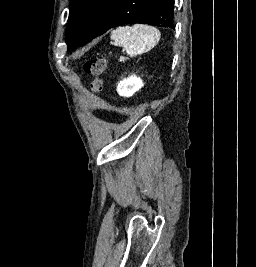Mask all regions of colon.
Here are the masks:
<instances>
[{
    "instance_id": "1",
    "label": "colon",
    "mask_w": 256,
    "mask_h": 267,
    "mask_svg": "<svg viewBox=\"0 0 256 267\" xmlns=\"http://www.w3.org/2000/svg\"><path fill=\"white\" fill-rule=\"evenodd\" d=\"M108 67V61L104 57H91L84 64V71L91 76V92L98 95L102 92L104 81L103 76Z\"/></svg>"
}]
</instances>
